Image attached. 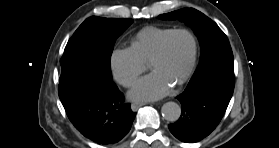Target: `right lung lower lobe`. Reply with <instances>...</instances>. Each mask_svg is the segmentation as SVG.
I'll return each mask as SVG.
<instances>
[{"label": "right lung lower lobe", "mask_w": 279, "mask_h": 148, "mask_svg": "<svg viewBox=\"0 0 279 148\" xmlns=\"http://www.w3.org/2000/svg\"><path fill=\"white\" fill-rule=\"evenodd\" d=\"M61 67L59 98L75 128L99 144L117 143L125 137L136 113L113 81L102 74L96 56L84 47L68 48Z\"/></svg>", "instance_id": "1"}]
</instances>
